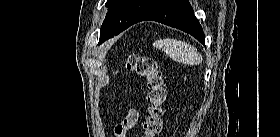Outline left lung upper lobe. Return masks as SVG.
Listing matches in <instances>:
<instances>
[{
  "instance_id": "5c2ea615",
  "label": "left lung upper lobe",
  "mask_w": 280,
  "mask_h": 137,
  "mask_svg": "<svg viewBox=\"0 0 280 137\" xmlns=\"http://www.w3.org/2000/svg\"><path fill=\"white\" fill-rule=\"evenodd\" d=\"M161 0H107L99 44L135 24Z\"/></svg>"
}]
</instances>
